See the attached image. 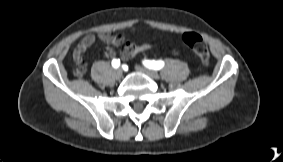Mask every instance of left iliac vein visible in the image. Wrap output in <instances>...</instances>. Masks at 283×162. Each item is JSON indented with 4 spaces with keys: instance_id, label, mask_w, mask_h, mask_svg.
<instances>
[{
    "instance_id": "4c4485c4",
    "label": "left iliac vein",
    "mask_w": 283,
    "mask_h": 162,
    "mask_svg": "<svg viewBox=\"0 0 283 162\" xmlns=\"http://www.w3.org/2000/svg\"><path fill=\"white\" fill-rule=\"evenodd\" d=\"M135 68H136L137 71L146 74L147 76H149L152 79H159L158 72H156L154 70H151V69H148V68H145V67H142V66H138V65Z\"/></svg>"
}]
</instances>
